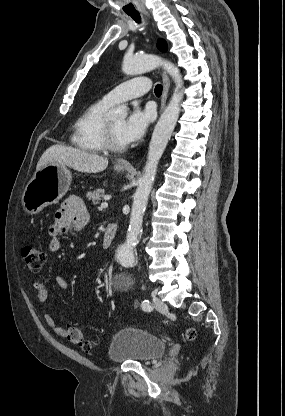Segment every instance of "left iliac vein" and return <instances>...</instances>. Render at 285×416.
<instances>
[{
    "instance_id": "4c4485c4",
    "label": "left iliac vein",
    "mask_w": 285,
    "mask_h": 416,
    "mask_svg": "<svg viewBox=\"0 0 285 416\" xmlns=\"http://www.w3.org/2000/svg\"><path fill=\"white\" fill-rule=\"evenodd\" d=\"M153 305H154V308L158 311H162V312L167 311V306L164 303V301H162L160 298L156 296H153Z\"/></svg>"
}]
</instances>
